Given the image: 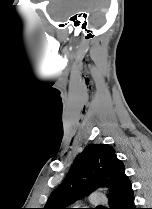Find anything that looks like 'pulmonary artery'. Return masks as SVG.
<instances>
[{
	"label": "pulmonary artery",
	"instance_id": "e3ab8cb5",
	"mask_svg": "<svg viewBox=\"0 0 152 209\" xmlns=\"http://www.w3.org/2000/svg\"><path fill=\"white\" fill-rule=\"evenodd\" d=\"M90 203L93 205H104L106 203V198L100 193L92 194L90 198Z\"/></svg>",
	"mask_w": 152,
	"mask_h": 209
}]
</instances>
